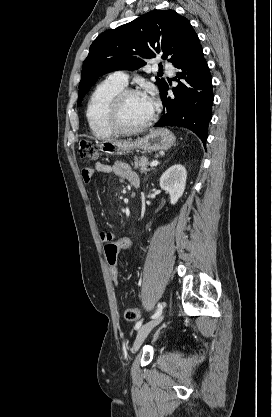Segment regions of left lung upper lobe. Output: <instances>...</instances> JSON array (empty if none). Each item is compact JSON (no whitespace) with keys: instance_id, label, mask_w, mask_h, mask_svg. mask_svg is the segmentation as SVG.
<instances>
[{"instance_id":"obj_1","label":"left lung upper lobe","mask_w":272,"mask_h":417,"mask_svg":"<svg viewBox=\"0 0 272 417\" xmlns=\"http://www.w3.org/2000/svg\"><path fill=\"white\" fill-rule=\"evenodd\" d=\"M190 22L173 10H154L100 34L90 46L82 67L78 105L99 76L115 70H133L146 59L161 55L174 66L200 47ZM160 93L167 85L156 78Z\"/></svg>"}]
</instances>
